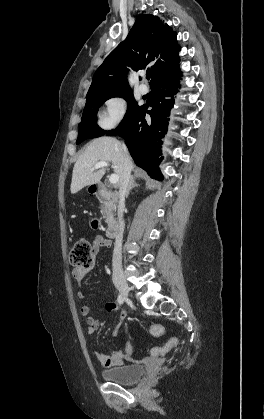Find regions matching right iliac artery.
<instances>
[{
	"label": "right iliac artery",
	"instance_id": "obj_1",
	"mask_svg": "<svg viewBox=\"0 0 264 419\" xmlns=\"http://www.w3.org/2000/svg\"><path fill=\"white\" fill-rule=\"evenodd\" d=\"M117 301H118L119 304H123L124 299H123L122 295H118Z\"/></svg>",
	"mask_w": 264,
	"mask_h": 419
}]
</instances>
